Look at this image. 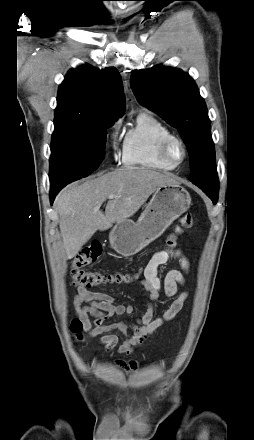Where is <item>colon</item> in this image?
<instances>
[{"mask_svg": "<svg viewBox=\"0 0 254 440\" xmlns=\"http://www.w3.org/2000/svg\"><path fill=\"white\" fill-rule=\"evenodd\" d=\"M194 225V218L192 214H185L180 221L179 227L175 233L170 235L166 241L168 250H173L177 246L178 235L182 229H190ZM102 255V246L100 243L95 242L80 250L74 257L71 265L70 274L73 279V283L76 286H82L85 288H92L104 283H127L132 280L130 274L125 273H105L102 271H88L85 267L89 266L93 262L97 261ZM71 331L77 338L81 337L83 331V323L79 319H74L70 324ZM134 367V365H131Z\"/></svg>", "mask_w": 254, "mask_h": 440, "instance_id": "colon-1", "label": "colon"}]
</instances>
